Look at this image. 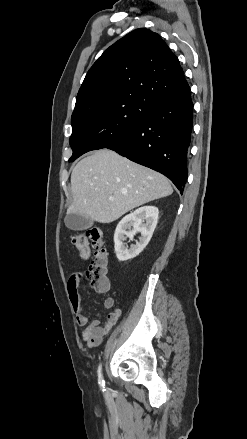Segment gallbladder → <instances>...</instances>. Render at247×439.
Masks as SVG:
<instances>
[{
    "mask_svg": "<svg viewBox=\"0 0 247 439\" xmlns=\"http://www.w3.org/2000/svg\"><path fill=\"white\" fill-rule=\"evenodd\" d=\"M65 225L71 230H85L93 225V220L78 213H68L64 219Z\"/></svg>",
    "mask_w": 247,
    "mask_h": 439,
    "instance_id": "1",
    "label": "gallbladder"
}]
</instances>
